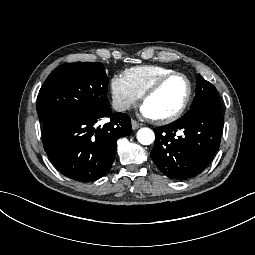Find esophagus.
Instances as JSON below:
<instances>
[{"instance_id":"esophagus-1","label":"esophagus","mask_w":255,"mask_h":255,"mask_svg":"<svg viewBox=\"0 0 255 255\" xmlns=\"http://www.w3.org/2000/svg\"><path fill=\"white\" fill-rule=\"evenodd\" d=\"M131 124H132V129L133 130H136V129H138L140 127V123L137 122L136 120H132Z\"/></svg>"}]
</instances>
